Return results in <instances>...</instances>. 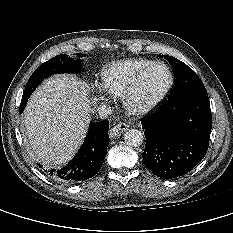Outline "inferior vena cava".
<instances>
[{
    "mask_svg": "<svg viewBox=\"0 0 233 233\" xmlns=\"http://www.w3.org/2000/svg\"><path fill=\"white\" fill-rule=\"evenodd\" d=\"M97 111L101 119L108 118L109 115L112 113L111 107L105 104L99 105Z\"/></svg>",
    "mask_w": 233,
    "mask_h": 233,
    "instance_id": "602c4592",
    "label": "inferior vena cava"
}]
</instances>
